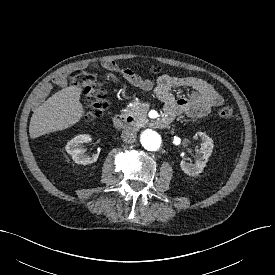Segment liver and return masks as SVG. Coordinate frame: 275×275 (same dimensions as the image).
Masks as SVG:
<instances>
[{
	"label": "liver",
	"instance_id": "obj_1",
	"mask_svg": "<svg viewBox=\"0 0 275 275\" xmlns=\"http://www.w3.org/2000/svg\"><path fill=\"white\" fill-rule=\"evenodd\" d=\"M81 92L78 86L66 87L36 108L30 120V137L37 138L78 123L85 113L80 102Z\"/></svg>",
	"mask_w": 275,
	"mask_h": 275
}]
</instances>
